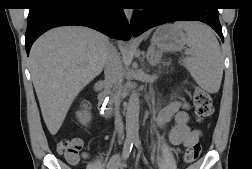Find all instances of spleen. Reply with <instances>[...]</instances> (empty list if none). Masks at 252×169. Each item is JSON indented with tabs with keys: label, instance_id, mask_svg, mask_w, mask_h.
<instances>
[{
	"label": "spleen",
	"instance_id": "obj_1",
	"mask_svg": "<svg viewBox=\"0 0 252 169\" xmlns=\"http://www.w3.org/2000/svg\"><path fill=\"white\" fill-rule=\"evenodd\" d=\"M178 28L186 32L189 56L185 67L196 83L208 93L218 92L223 75V57L219 42L213 32L198 22H178Z\"/></svg>",
	"mask_w": 252,
	"mask_h": 169
}]
</instances>
